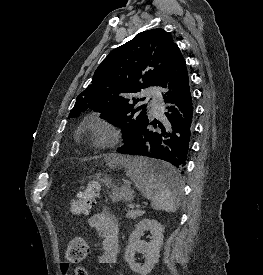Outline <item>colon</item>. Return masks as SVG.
I'll return each instance as SVG.
<instances>
[{
	"label": "colon",
	"instance_id": "obj_1",
	"mask_svg": "<svg viewBox=\"0 0 263 275\" xmlns=\"http://www.w3.org/2000/svg\"><path fill=\"white\" fill-rule=\"evenodd\" d=\"M100 191V185L96 180H90L79 197L71 203V213L73 215L86 214L92 207L95 198ZM89 252L88 241L84 237H75L67 245L65 251L64 267L68 268L71 263H79L83 261ZM74 275H88L83 267H76Z\"/></svg>",
	"mask_w": 263,
	"mask_h": 275
}]
</instances>
